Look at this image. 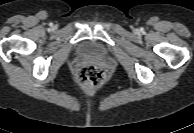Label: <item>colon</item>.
<instances>
[{"mask_svg":"<svg viewBox=\"0 0 194 133\" xmlns=\"http://www.w3.org/2000/svg\"><path fill=\"white\" fill-rule=\"evenodd\" d=\"M105 80V72L96 65H85L76 73V81L84 89L98 88Z\"/></svg>","mask_w":194,"mask_h":133,"instance_id":"1","label":"colon"}]
</instances>
